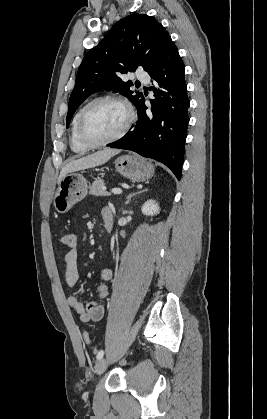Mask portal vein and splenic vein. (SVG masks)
I'll list each match as a JSON object with an SVG mask.
<instances>
[{
	"label": "portal vein and splenic vein",
	"mask_w": 267,
	"mask_h": 419,
	"mask_svg": "<svg viewBox=\"0 0 267 419\" xmlns=\"http://www.w3.org/2000/svg\"><path fill=\"white\" fill-rule=\"evenodd\" d=\"M111 192L113 193V194H121L122 193V190L120 189V188H113L112 190H111Z\"/></svg>",
	"instance_id": "obj_1"
}]
</instances>
